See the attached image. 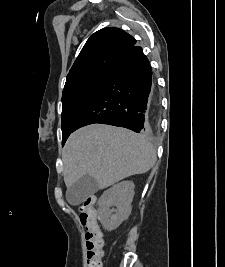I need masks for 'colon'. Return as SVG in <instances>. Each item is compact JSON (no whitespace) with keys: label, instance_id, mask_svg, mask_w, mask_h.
I'll return each mask as SVG.
<instances>
[{"label":"colon","instance_id":"5ec220e1","mask_svg":"<svg viewBox=\"0 0 225 267\" xmlns=\"http://www.w3.org/2000/svg\"><path fill=\"white\" fill-rule=\"evenodd\" d=\"M93 198H88L80 207V220L86 227V267H103L105 240L97 224Z\"/></svg>","mask_w":225,"mask_h":267}]
</instances>
